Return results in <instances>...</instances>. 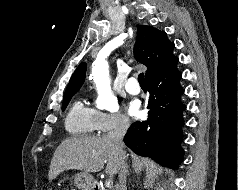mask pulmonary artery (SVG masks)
<instances>
[{"mask_svg":"<svg viewBox=\"0 0 238 190\" xmlns=\"http://www.w3.org/2000/svg\"><path fill=\"white\" fill-rule=\"evenodd\" d=\"M125 90L132 95H136L140 92V87L137 84V81L135 78H129L127 82L125 83Z\"/></svg>","mask_w":238,"mask_h":190,"instance_id":"obj_1","label":"pulmonary artery"}]
</instances>
